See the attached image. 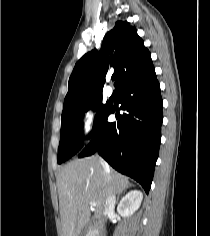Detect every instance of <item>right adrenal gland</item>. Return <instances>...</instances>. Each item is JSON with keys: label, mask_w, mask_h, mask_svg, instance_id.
<instances>
[{"label": "right adrenal gland", "mask_w": 210, "mask_h": 236, "mask_svg": "<svg viewBox=\"0 0 210 236\" xmlns=\"http://www.w3.org/2000/svg\"><path fill=\"white\" fill-rule=\"evenodd\" d=\"M129 186H132V185L130 184ZM121 193H122V192H121ZM121 193L118 194V196H117V201H118L119 196L121 195Z\"/></svg>", "instance_id": "right-adrenal-gland-1"}]
</instances>
